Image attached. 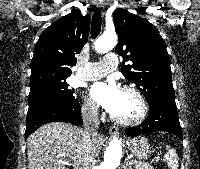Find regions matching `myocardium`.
Here are the masks:
<instances>
[{
    "label": "myocardium",
    "instance_id": "obj_1",
    "mask_svg": "<svg viewBox=\"0 0 200 169\" xmlns=\"http://www.w3.org/2000/svg\"><path fill=\"white\" fill-rule=\"evenodd\" d=\"M121 91L132 93L138 99L140 105V112L133 119H122L115 117L113 114H110L111 120L117 124L124 126H137L143 123L146 120L149 113V106L143 93L138 88L130 85L123 86L121 88Z\"/></svg>",
    "mask_w": 200,
    "mask_h": 169
}]
</instances>
